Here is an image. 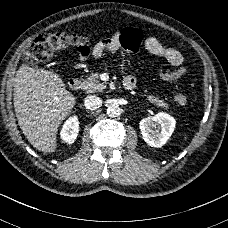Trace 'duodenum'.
<instances>
[{
	"instance_id": "duodenum-1",
	"label": "duodenum",
	"mask_w": 228,
	"mask_h": 228,
	"mask_svg": "<svg viewBox=\"0 0 228 228\" xmlns=\"http://www.w3.org/2000/svg\"><path fill=\"white\" fill-rule=\"evenodd\" d=\"M68 86L73 91H79L82 87V80L78 77H70L68 79ZM124 87L126 89H133L135 87V81L132 78H126L124 80Z\"/></svg>"
}]
</instances>
